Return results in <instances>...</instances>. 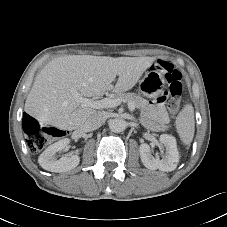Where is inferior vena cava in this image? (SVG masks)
Here are the masks:
<instances>
[{"label": "inferior vena cava", "mask_w": 227, "mask_h": 227, "mask_svg": "<svg viewBox=\"0 0 227 227\" xmlns=\"http://www.w3.org/2000/svg\"><path fill=\"white\" fill-rule=\"evenodd\" d=\"M106 114L103 111H98L91 115L85 122V128L88 131L96 130L101 127L106 121Z\"/></svg>", "instance_id": "obj_1"}]
</instances>
